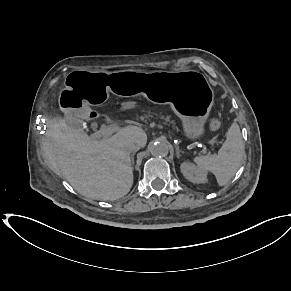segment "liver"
<instances>
[{
    "mask_svg": "<svg viewBox=\"0 0 291 291\" xmlns=\"http://www.w3.org/2000/svg\"><path fill=\"white\" fill-rule=\"evenodd\" d=\"M78 120L84 116H76ZM144 147L143 129L129 125L111 137L96 140L82 127H72L63 119L49 123L44 143L45 156L81 195L104 201L125 196L133 185V169L126 143Z\"/></svg>",
    "mask_w": 291,
    "mask_h": 291,
    "instance_id": "obj_1",
    "label": "liver"
}]
</instances>
